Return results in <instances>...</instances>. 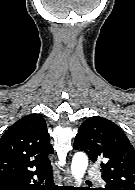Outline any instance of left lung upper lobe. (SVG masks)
Listing matches in <instances>:
<instances>
[{
	"instance_id": "left-lung-upper-lobe-1",
	"label": "left lung upper lobe",
	"mask_w": 135,
	"mask_h": 190,
	"mask_svg": "<svg viewBox=\"0 0 135 190\" xmlns=\"http://www.w3.org/2000/svg\"><path fill=\"white\" fill-rule=\"evenodd\" d=\"M74 148L101 162L106 182L102 190H135V150L115 123L99 116L88 118L78 130Z\"/></svg>"
}]
</instances>
